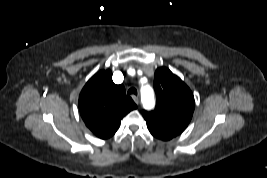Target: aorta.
<instances>
[{
	"mask_svg": "<svg viewBox=\"0 0 267 178\" xmlns=\"http://www.w3.org/2000/svg\"><path fill=\"white\" fill-rule=\"evenodd\" d=\"M141 100L145 109H151L155 105L153 89L149 85L142 86L140 89Z\"/></svg>",
	"mask_w": 267,
	"mask_h": 178,
	"instance_id": "obj_1",
	"label": "aorta"
}]
</instances>
